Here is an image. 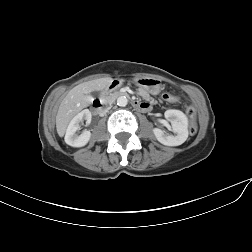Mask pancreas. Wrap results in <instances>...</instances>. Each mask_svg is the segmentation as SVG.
I'll list each match as a JSON object with an SVG mask.
<instances>
[{
	"instance_id": "1",
	"label": "pancreas",
	"mask_w": 252,
	"mask_h": 252,
	"mask_svg": "<svg viewBox=\"0 0 252 252\" xmlns=\"http://www.w3.org/2000/svg\"><path fill=\"white\" fill-rule=\"evenodd\" d=\"M138 93L144 98L146 99L147 101H149L150 104H159V101H157L156 99H152L150 97V95L143 89L139 88L138 89ZM112 98V96H111Z\"/></svg>"
}]
</instances>
